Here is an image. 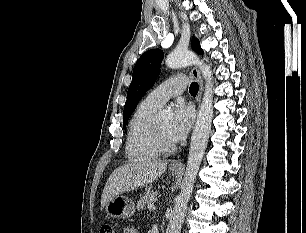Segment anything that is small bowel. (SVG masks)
I'll use <instances>...</instances> for the list:
<instances>
[{
    "instance_id": "1",
    "label": "small bowel",
    "mask_w": 306,
    "mask_h": 233,
    "mask_svg": "<svg viewBox=\"0 0 306 233\" xmlns=\"http://www.w3.org/2000/svg\"><path fill=\"white\" fill-rule=\"evenodd\" d=\"M124 233H138V230L136 227H128L125 229Z\"/></svg>"
}]
</instances>
